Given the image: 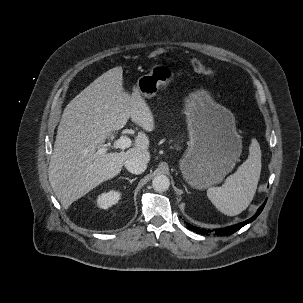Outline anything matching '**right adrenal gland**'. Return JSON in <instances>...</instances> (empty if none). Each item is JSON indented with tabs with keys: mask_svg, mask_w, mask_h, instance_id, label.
<instances>
[{
	"mask_svg": "<svg viewBox=\"0 0 303 303\" xmlns=\"http://www.w3.org/2000/svg\"><path fill=\"white\" fill-rule=\"evenodd\" d=\"M122 179L128 180L132 184V182L135 181L137 178L130 179L128 177H122Z\"/></svg>",
	"mask_w": 303,
	"mask_h": 303,
	"instance_id": "2a0ac1e0",
	"label": "right adrenal gland"
}]
</instances>
